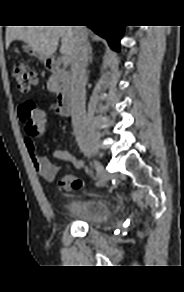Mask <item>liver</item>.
Returning a JSON list of instances; mask_svg holds the SVG:
<instances>
[{"label":"liver","mask_w":184,"mask_h":292,"mask_svg":"<svg viewBox=\"0 0 184 292\" xmlns=\"http://www.w3.org/2000/svg\"><path fill=\"white\" fill-rule=\"evenodd\" d=\"M76 26H9L6 29V46L14 40H21L51 57L57 50L61 38L60 52L71 60L77 43Z\"/></svg>","instance_id":"liver-1"}]
</instances>
